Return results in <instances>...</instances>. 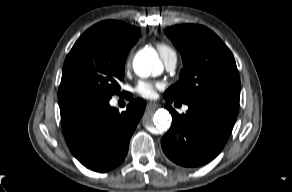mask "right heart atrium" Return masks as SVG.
I'll list each match as a JSON object with an SVG mask.
<instances>
[{"label": "right heart atrium", "instance_id": "obj_1", "mask_svg": "<svg viewBox=\"0 0 292 192\" xmlns=\"http://www.w3.org/2000/svg\"><path fill=\"white\" fill-rule=\"evenodd\" d=\"M129 64H130V56H128V58L126 59V62H125L126 66H129Z\"/></svg>", "mask_w": 292, "mask_h": 192}]
</instances>
